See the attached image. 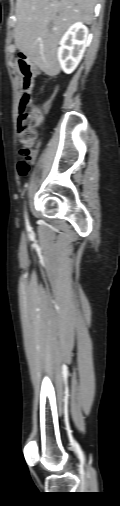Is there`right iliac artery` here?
Here are the masks:
<instances>
[{
    "mask_svg": "<svg viewBox=\"0 0 120 506\" xmlns=\"http://www.w3.org/2000/svg\"><path fill=\"white\" fill-rule=\"evenodd\" d=\"M25 218H26V223H28V219H27V216H26V214H25Z\"/></svg>",
    "mask_w": 120,
    "mask_h": 506,
    "instance_id": "right-iliac-artery-1",
    "label": "right iliac artery"
}]
</instances>
